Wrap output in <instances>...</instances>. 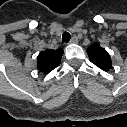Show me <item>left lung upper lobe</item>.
<instances>
[{
  "mask_svg": "<svg viewBox=\"0 0 127 127\" xmlns=\"http://www.w3.org/2000/svg\"><path fill=\"white\" fill-rule=\"evenodd\" d=\"M89 60L104 71L112 68L111 57L99 44H93L87 49Z\"/></svg>",
  "mask_w": 127,
  "mask_h": 127,
  "instance_id": "1",
  "label": "left lung upper lobe"
}]
</instances>
